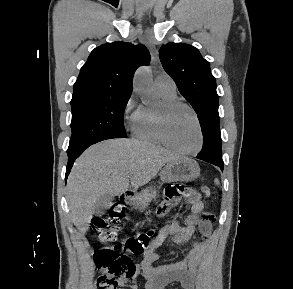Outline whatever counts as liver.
<instances>
[{"label":"liver","mask_w":293,"mask_h":289,"mask_svg":"<svg viewBox=\"0 0 293 289\" xmlns=\"http://www.w3.org/2000/svg\"><path fill=\"white\" fill-rule=\"evenodd\" d=\"M180 157L136 139H110L88 148L75 162L67 182L73 224L88 230L95 204L103 195L118 196L151 181L168 162Z\"/></svg>","instance_id":"6515ba94"}]
</instances>
